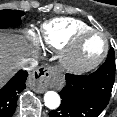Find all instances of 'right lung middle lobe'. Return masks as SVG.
<instances>
[{
    "label": "right lung middle lobe",
    "instance_id": "right-lung-middle-lobe-1",
    "mask_svg": "<svg viewBox=\"0 0 117 117\" xmlns=\"http://www.w3.org/2000/svg\"><path fill=\"white\" fill-rule=\"evenodd\" d=\"M22 15H24V12L19 10H1L0 29L19 26Z\"/></svg>",
    "mask_w": 117,
    "mask_h": 117
}]
</instances>
